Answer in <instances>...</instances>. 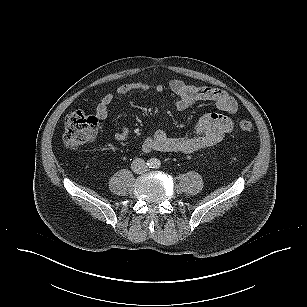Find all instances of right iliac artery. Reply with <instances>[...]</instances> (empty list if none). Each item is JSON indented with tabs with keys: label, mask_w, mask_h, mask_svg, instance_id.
<instances>
[{
	"label": "right iliac artery",
	"mask_w": 307,
	"mask_h": 307,
	"mask_svg": "<svg viewBox=\"0 0 307 307\" xmlns=\"http://www.w3.org/2000/svg\"><path fill=\"white\" fill-rule=\"evenodd\" d=\"M153 165H154V162H153L152 160H149V161L147 162V166H148L149 168H152Z\"/></svg>",
	"instance_id": "right-iliac-artery-1"
}]
</instances>
